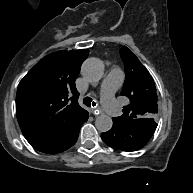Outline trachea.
Here are the masks:
<instances>
[{
    "label": "trachea",
    "instance_id": "trachea-1",
    "mask_svg": "<svg viewBox=\"0 0 193 193\" xmlns=\"http://www.w3.org/2000/svg\"><path fill=\"white\" fill-rule=\"evenodd\" d=\"M83 103L88 107H91V105L96 106V103L90 97H85Z\"/></svg>",
    "mask_w": 193,
    "mask_h": 193
}]
</instances>
